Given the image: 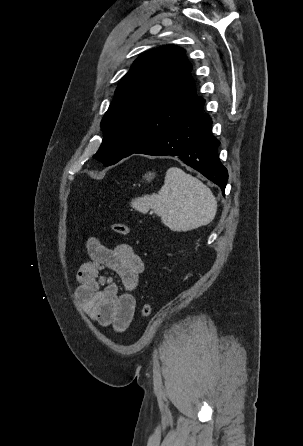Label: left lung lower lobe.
<instances>
[{
    "mask_svg": "<svg viewBox=\"0 0 303 446\" xmlns=\"http://www.w3.org/2000/svg\"><path fill=\"white\" fill-rule=\"evenodd\" d=\"M204 99H200L166 135L134 153L178 156L209 180L217 184L224 194L228 180L226 168L219 160V140L211 135L212 120L203 111Z\"/></svg>",
    "mask_w": 303,
    "mask_h": 446,
    "instance_id": "1",
    "label": "left lung lower lobe"
}]
</instances>
